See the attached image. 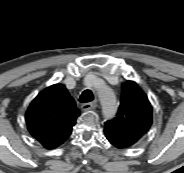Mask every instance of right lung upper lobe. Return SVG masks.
Segmentation results:
<instances>
[{
    "instance_id": "cb5924a9",
    "label": "right lung upper lobe",
    "mask_w": 184,
    "mask_h": 173,
    "mask_svg": "<svg viewBox=\"0 0 184 173\" xmlns=\"http://www.w3.org/2000/svg\"><path fill=\"white\" fill-rule=\"evenodd\" d=\"M79 115L66 87L54 84L37 95L25 117L31 135L46 149H55L70 136Z\"/></svg>"
}]
</instances>
